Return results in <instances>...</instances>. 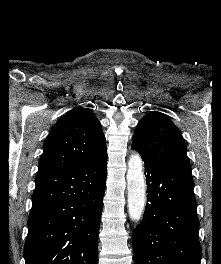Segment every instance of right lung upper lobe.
Segmentation results:
<instances>
[{
    "instance_id": "obj_1",
    "label": "right lung upper lobe",
    "mask_w": 221,
    "mask_h": 264,
    "mask_svg": "<svg viewBox=\"0 0 221 264\" xmlns=\"http://www.w3.org/2000/svg\"><path fill=\"white\" fill-rule=\"evenodd\" d=\"M43 149L38 174L88 165L107 156L99 120L90 109L80 106L56 122Z\"/></svg>"
}]
</instances>
